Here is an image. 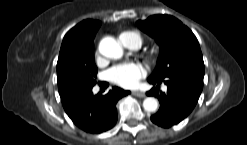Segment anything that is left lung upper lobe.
Here are the masks:
<instances>
[{
  "label": "left lung upper lobe",
  "instance_id": "left-lung-upper-lobe-1",
  "mask_svg": "<svg viewBox=\"0 0 247 145\" xmlns=\"http://www.w3.org/2000/svg\"><path fill=\"white\" fill-rule=\"evenodd\" d=\"M137 25L155 38L161 49L149 80H163L174 74L203 79L204 62L198 40L181 21L170 15H153L137 21Z\"/></svg>",
  "mask_w": 247,
  "mask_h": 145
}]
</instances>
